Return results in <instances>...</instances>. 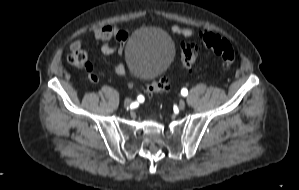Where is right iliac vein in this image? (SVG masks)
I'll return each mask as SVG.
<instances>
[{
  "label": "right iliac vein",
  "instance_id": "right-iliac-vein-1",
  "mask_svg": "<svg viewBox=\"0 0 299 190\" xmlns=\"http://www.w3.org/2000/svg\"><path fill=\"white\" fill-rule=\"evenodd\" d=\"M131 103H132V101L129 98H127V99L124 100V106L126 108L130 107Z\"/></svg>",
  "mask_w": 299,
  "mask_h": 190
}]
</instances>
